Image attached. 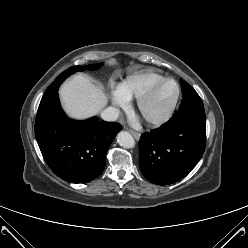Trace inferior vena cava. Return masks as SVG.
<instances>
[{
    "label": "inferior vena cava",
    "instance_id": "1",
    "mask_svg": "<svg viewBox=\"0 0 248 248\" xmlns=\"http://www.w3.org/2000/svg\"><path fill=\"white\" fill-rule=\"evenodd\" d=\"M101 118L105 121H116L119 118V110L108 107L101 112Z\"/></svg>",
    "mask_w": 248,
    "mask_h": 248
}]
</instances>
